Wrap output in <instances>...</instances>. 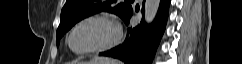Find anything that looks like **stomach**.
Wrapping results in <instances>:
<instances>
[{
    "label": "stomach",
    "instance_id": "stomach-1",
    "mask_svg": "<svg viewBox=\"0 0 242 64\" xmlns=\"http://www.w3.org/2000/svg\"><path fill=\"white\" fill-rule=\"evenodd\" d=\"M81 64H110V63H103L101 61H96V62L90 61V62H85V63H81Z\"/></svg>",
    "mask_w": 242,
    "mask_h": 64
}]
</instances>
